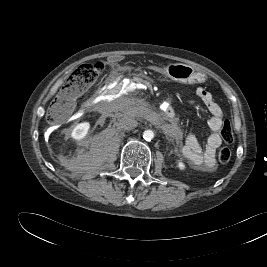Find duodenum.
Returning a JSON list of instances; mask_svg holds the SVG:
<instances>
[{
  "instance_id": "410a0bca",
  "label": "duodenum",
  "mask_w": 267,
  "mask_h": 267,
  "mask_svg": "<svg viewBox=\"0 0 267 267\" xmlns=\"http://www.w3.org/2000/svg\"><path fill=\"white\" fill-rule=\"evenodd\" d=\"M126 93V86L124 84L109 83L107 85L106 99L108 101H115L117 97L123 96ZM162 116L171 121L174 120L175 113L171 107H166L162 110Z\"/></svg>"
}]
</instances>
